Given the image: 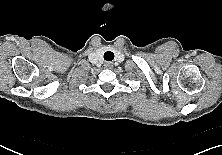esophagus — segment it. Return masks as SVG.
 <instances>
[{"mask_svg":"<svg viewBox=\"0 0 222 155\" xmlns=\"http://www.w3.org/2000/svg\"><path fill=\"white\" fill-rule=\"evenodd\" d=\"M104 67L107 69H111L113 67V63L112 62H105Z\"/></svg>","mask_w":222,"mask_h":155,"instance_id":"obj_1","label":"esophagus"}]
</instances>
